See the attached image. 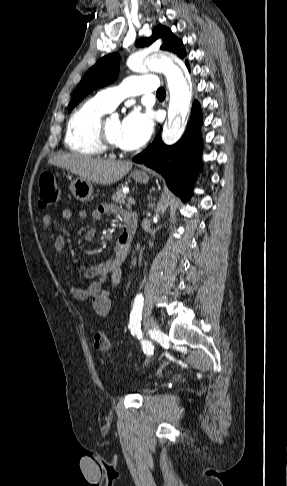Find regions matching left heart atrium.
<instances>
[{
	"label": "left heart atrium",
	"instance_id": "left-heart-atrium-1",
	"mask_svg": "<svg viewBox=\"0 0 287 486\" xmlns=\"http://www.w3.org/2000/svg\"><path fill=\"white\" fill-rule=\"evenodd\" d=\"M153 131L149 112L133 111L121 123V144L124 149H136L144 145Z\"/></svg>",
	"mask_w": 287,
	"mask_h": 486
}]
</instances>
